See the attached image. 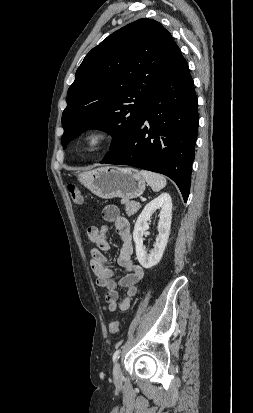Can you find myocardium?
I'll return each instance as SVG.
<instances>
[{
  "instance_id": "obj_1",
  "label": "myocardium",
  "mask_w": 253,
  "mask_h": 413,
  "mask_svg": "<svg viewBox=\"0 0 253 413\" xmlns=\"http://www.w3.org/2000/svg\"><path fill=\"white\" fill-rule=\"evenodd\" d=\"M111 132L105 128L94 127L84 131L78 139L79 150L84 154H96L103 151L112 142ZM91 142V145H89Z\"/></svg>"
}]
</instances>
